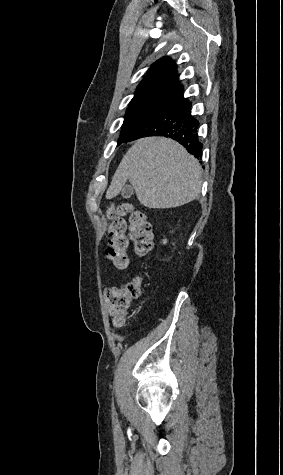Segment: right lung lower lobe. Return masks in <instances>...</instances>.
<instances>
[{
  "instance_id": "obj_1",
  "label": "right lung lower lobe",
  "mask_w": 283,
  "mask_h": 475,
  "mask_svg": "<svg viewBox=\"0 0 283 475\" xmlns=\"http://www.w3.org/2000/svg\"><path fill=\"white\" fill-rule=\"evenodd\" d=\"M192 104L177 90L159 108L147 116L123 142L146 136H164L182 144L189 153L201 158L203 144L199 141L198 120L191 114Z\"/></svg>"
}]
</instances>
